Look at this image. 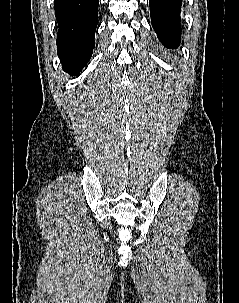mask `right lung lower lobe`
Listing matches in <instances>:
<instances>
[{
	"instance_id": "98d812e1",
	"label": "right lung lower lobe",
	"mask_w": 239,
	"mask_h": 303,
	"mask_svg": "<svg viewBox=\"0 0 239 303\" xmlns=\"http://www.w3.org/2000/svg\"><path fill=\"white\" fill-rule=\"evenodd\" d=\"M99 0H55L57 53L64 71L77 75L94 48Z\"/></svg>"
}]
</instances>
